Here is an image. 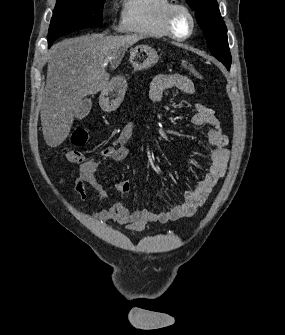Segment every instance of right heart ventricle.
Segmentation results:
<instances>
[{"instance_id":"e07e8e85","label":"right heart ventricle","mask_w":285,"mask_h":335,"mask_svg":"<svg viewBox=\"0 0 285 335\" xmlns=\"http://www.w3.org/2000/svg\"><path fill=\"white\" fill-rule=\"evenodd\" d=\"M134 16L128 22L141 38L161 40L170 37L167 16L172 1H133Z\"/></svg>"}]
</instances>
